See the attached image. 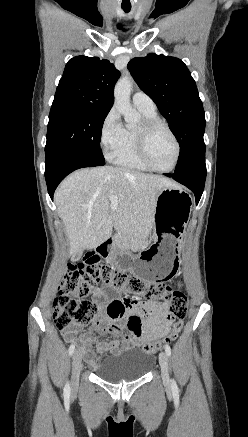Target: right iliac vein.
<instances>
[{
	"mask_svg": "<svg viewBox=\"0 0 248 437\" xmlns=\"http://www.w3.org/2000/svg\"><path fill=\"white\" fill-rule=\"evenodd\" d=\"M82 352L76 350L72 358V386L76 387L79 382V375L81 370Z\"/></svg>",
	"mask_w": 248,
	"mask_h": 437,
	"instance_id": "obj_1",
	"label": "right iliac vein"
}]
</instances>
